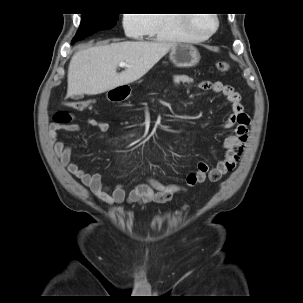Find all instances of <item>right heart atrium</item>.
<instances>
[{
	"instance_id": "obj_1",
	"label": "right heart atrium",
	"mask_w": 303,
	"mask_h": 303,
	"mask_svg": "<svg viewBox=\"0 0 303 303\" xmlns=\"http://www.w3.org/2000/svg\"><path fill=\"white\" fill-rule=\"evenodd\" d=\"M123 27L130 38H139L144 35L148 28L147 14H125Z\"/></svg>"
}]
</instances>
